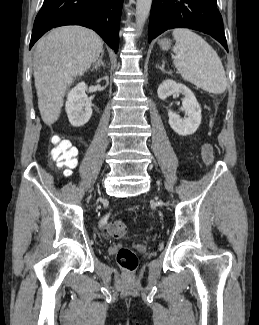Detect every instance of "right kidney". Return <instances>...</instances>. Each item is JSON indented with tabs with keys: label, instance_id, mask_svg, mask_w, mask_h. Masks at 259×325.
I'll use <instances>...</instances> for the list:
<instances>
[{
	"label": "right kidney",
	"instance_id": "obj_1",
	"mask_svg": "<svg viewBox=\"0 0 259 325\" xmlns=\"http://www.w3.org/2000/svg\"><path fill=\"white\" fill-rule=\"evenodd\" d=\"M86 84L78 83L67 95L65 110L69 122L74 127L85 125L92 115V103L86 93Z\"/></svg>",
	"mask_w": 259,
	"mask_h": 325
}]
</instances>
